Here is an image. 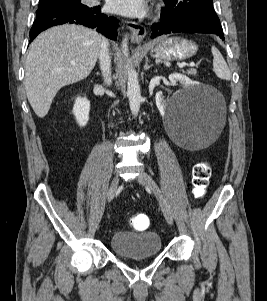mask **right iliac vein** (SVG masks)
<instances>
[{
    "label": "right iliac vein",
    "mask_w": 267,
    "mask_h": 301,
    "mask_svg": "<svg viewBox=\"0 0 267 301\" xmlns=\"http://www.w3.org/2000/svg\"><path fill=\"white\" fill-rule=\"evenodd\" d=\"M118 184H119V178H118V176H116L112 180L111 185H110L109 190H108L107 195H106V199H107L108 202L111 201L114 198L115 193H116L117 188H118Z\"/></svg>",
    "instance_id": "right-iliac-vein-1"
}]
</instances>
